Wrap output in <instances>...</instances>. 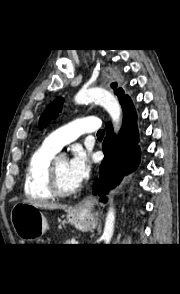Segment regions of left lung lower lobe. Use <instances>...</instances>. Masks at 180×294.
Listing matches in <instances>:
<instances>
[{
	"label": "left lung lower lobe",
	"instance_id": "1",
	"mask_svg": "<svg viewBox=\"0 0 180 294\" xmlns=\"http://www.w3.org/2000/svg\"><path fill=\"white\" fill-rule=\"evenodd\" d=\"M123 128L119 137L112 134L111 123L106 124L108 136L103 142L105 158L101 164L100 179L94 184V194L101 196L100 201L105 202V194L120 183L124 175L132 173L140 161L138 144V129L136 111L130 98L123 104Z\"/></svg>",
	"mask_w": 180,
	"mask_h": 294
}]
</instances>
